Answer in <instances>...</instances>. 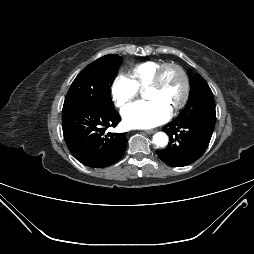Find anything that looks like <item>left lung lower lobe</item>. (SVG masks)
<instances>
[{
    "instance_id": "obj_1",
    "label": "left lung lower lobe",
    "mask_w": 254,
    "mask_h": 254,
    "mask_svg": "<svg viewBox=\"0 0 254 254\" xmlns=\"http://www.w3.org/2000/svg\"><path fill=\"white\" fill-rule=\"evenodd\" d=\"M216 121L215 107L186 106L180 115L163 127L170 142L157 155L167 165L187 166L207 149Z\"/></svg>"
}]
</instances>
